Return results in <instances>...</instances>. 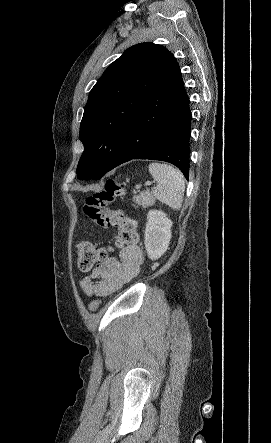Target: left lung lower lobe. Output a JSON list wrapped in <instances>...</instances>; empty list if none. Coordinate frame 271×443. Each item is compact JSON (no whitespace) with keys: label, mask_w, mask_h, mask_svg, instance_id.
I'll list each match as a JSON object with an SVG mask.
<instances>
[{"label":"left lung lower lobe","mask_w":271,"mask_h":443,"mask_svg":"<svg viewBox=\"0 0 271 443\" xmlns=\"http://www.w3.org/2000/svg\"><path fill=\"white\" fill-rule=\"evenodd\" d=\"M190 123L189 97L173 57L134 113L109 171L132 159L160 160L177 166L188 180Z\"/></svg>","instance_id":"obj_1"}]
</instances>
